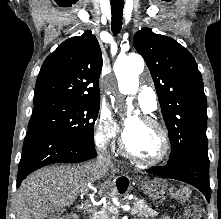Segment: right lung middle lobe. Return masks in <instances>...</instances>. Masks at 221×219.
<instances>
[{"label":"right lung middle lobe","instance_id":"obj_1","mask_svg":"<svg viewBox=\"0 0 221 219\" xmlns=\"http://www.w3.org/2000/svg\"><path fill=\"white\" fill-rule=\"evenodd\" d=\"M34 105L28 129H45L78 143L94 146V122L100 102L44 100Z\"/></svg>","mask_w":221,"mask_h":219}]
</instances>
